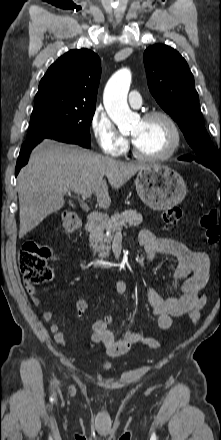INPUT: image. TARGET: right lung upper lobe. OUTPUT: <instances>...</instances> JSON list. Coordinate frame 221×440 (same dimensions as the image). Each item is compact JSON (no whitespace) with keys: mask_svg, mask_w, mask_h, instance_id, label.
Segmentation results:
<instances>
[{"mask_svg":"<svg viewBox=\"0 0 221 440\" xmlns=\"http://www.w3.org/2000/svg\"><path fill=\"white\" fill-rule=\"evenodd\" d=\"M101 61L89 49L70 50L47 70L39 83L35 103L59 101L96 106Z\"/></svg>","mask_w":221,"mask_h":440,"instance_id":"1","label":"right lung upper lobe"}]
</instances>
